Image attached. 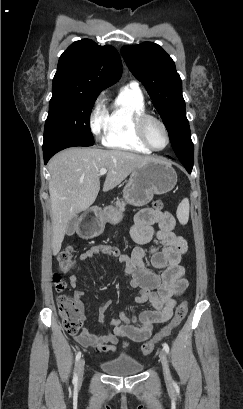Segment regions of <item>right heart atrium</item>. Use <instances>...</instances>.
I'll list each match as a JSON object with an SVG mask.
<instances>
[{
    "label": "right heart atrium",
    "mask_w": 243,
    "mask_h": 409,
    "mask_svg": "<svg viewBox=\"0 0 243 409\" xmlns=\"http://www.w3.org/2000/svg\"><path fill=\"white\" fill-rule=\"evenodd\" d=\"M89 125L96 137L105 136L109 125V115L104 106L102 94L93 102L89 114Z\"/></svg>",
    "instance_id": "obj_1"
}]
</instances>
